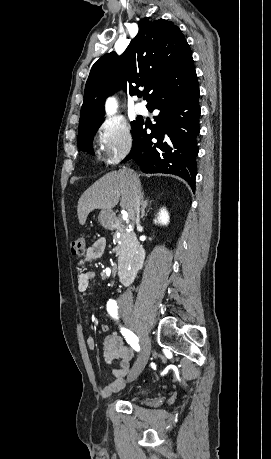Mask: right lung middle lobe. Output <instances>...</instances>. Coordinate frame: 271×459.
<instances>
[{"instance_id":"obj_1","label":"right lung middle lobe","mask_w":271,"mask_h":459,"mask_svg":"<svg viewBox=\"0 0 271 459\" xmlns=\"http://www.w3.org/2000/svg\"><path fill=\"white\" fill-rule=\"evenodd\" d=\"M102 122L103 117L79 122L78 147L80 150L88 152L91 155H94V151L92 148V140ZM140 122L141 120L139 119L131 122L133 130L138 126Z\"/></svg>"}]
</instances>
